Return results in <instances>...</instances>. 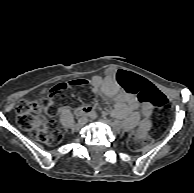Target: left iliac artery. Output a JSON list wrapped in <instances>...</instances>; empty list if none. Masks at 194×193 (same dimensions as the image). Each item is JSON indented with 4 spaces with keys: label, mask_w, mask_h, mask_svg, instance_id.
<instances>
[{
    "label": "left iliac artery",
    "mask_w": 194,
    "mask_h": 193,
    "mask_svg": "<svg viewBox=\"0 0 194 193\" xmlns=\"http://www.w3.org/2000/svg\"><path fill=\"white\" fill-rule=\"evenodd\" d=\"M119 124H121L122 122L121 121H117Z\"/></svg>",
    "instance_id": "left-iliac-artery-1"
}]
</instances>
